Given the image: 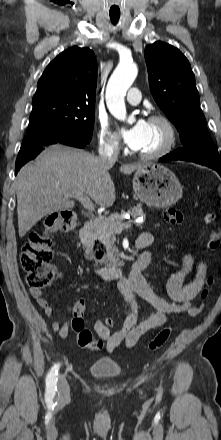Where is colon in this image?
Instances as JSON below:
<instances>
[{
	"mask_svg": "<svg viewBox=\"0 0 221 440\" xmlns=\"http://www.w3.org/2000/svg\"><path fill=\"white\" fill-rule=\"evenodd\" d=\"M164 218L170 225H180L183 221L182 212L175 207L165 210ZM207 224L215 221V215L208 213L204 218ZM79 226V218L70 211H60L50 214L45 221L42 231H33L28 240L24 243L20 254V264L26 273V282L33 289H42L49 286L54 278L55 272L50 267L53 258L51 234L56 232H71ZM220 246L219 236L212 232L207 239V248L210 251H216ZM212 283V278L207 280V286ZM208 295L207 288L200 293V299L204 300ZM85 303L78 301L74 304L71 326L76 333L77 343L82 348L100 349L103 347L101 340H95L90 330L85 327L84 314ZM102 322L106 329H115L116 322L112 315H103ZM171 334L169 326L164 327L148 343V349L151 351L163 347Z\"/></svg>",
	"mask_w": 221,
	"mask_h": 440,
	"instance_id": "5ec220e1",
	"label": "colon"
}]
</instances>
